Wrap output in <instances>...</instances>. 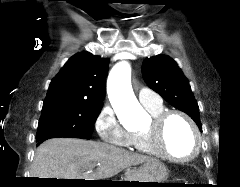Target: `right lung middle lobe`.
<instances>
[{
  "label": "right lung middle lobe",
  "mask_w": 240,
  "mask_h": 187,
  "mask_svg": "<svg viewBox=\"0 0 240 187\" xmlns=\"http://www.w3.org/2000/svg\"><path fill=\"white\" fill-rule=\"evenodd\" d=\"M102 104L68 103L43 107L39 120L37 141L75 137L90 139Z\"/></svg>",
  "instance_id": "right-lung-middle-lobe-1"
}]
</instances>
